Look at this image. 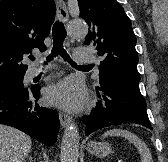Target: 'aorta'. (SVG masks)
Listing matches in <instances>:
<instances>
[{
	"instance_id": "aorta-1",
	"label": "aorta",
	"mask_w": 168,
	"mask_h": 162,
	"mask_svg": "<svg viewBox=\"0 0 168 162\" xmlns=\"http://www.w3.org/2000/svg\"><path fill=\"white\" fill-rule=\"evenodd\" d=\"M68 33L74 38H84L88 33V26L83 20H71L68 23ZM79 140L77 125L74 122L69 123L62 137L61 162H78Z\"/></svg>"
}]
</instances>
